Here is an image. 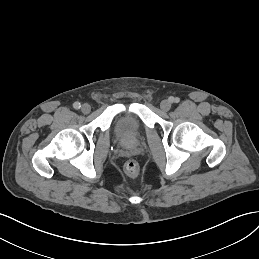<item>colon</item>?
Segmentation results:
<instances>
[{"label":"colon","instance_id":"obj_1","mask_svg":"<svg viewBox=\"0 0 259 259\" xmlns=\"http://www.w3.org/2000/svg\"><path fill=\"white\" fill-rule=\"evenodd\" d=\"M124 170L128 176L135 178L139 175L140 167L137 161L128 160L124 165Z\"/></svg>","mask_w":259,"mask_h":259}]
</instances>
